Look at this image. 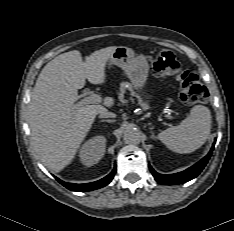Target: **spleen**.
Wrapping results in <instances>:
<instances>
[{
  "label": "spleen",
  "instance_id": "1",
  "mask_svg": "<svg viewBox=\"0 0 234 231\" xmlns=\"http://www.w3.org/2000/svg\"><path fill=\"white\" fill-rule=\"evenodd\" d=\"M210 130V110L205 106L196 105L180 125L162 131L158 139L171 151L187 154L200 148L206 142Z\"/></svg>",
  "mask_w": 234,
  "mask_h": 231
}]
</instances>
